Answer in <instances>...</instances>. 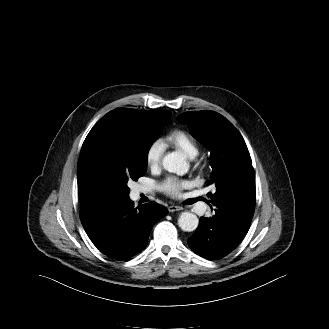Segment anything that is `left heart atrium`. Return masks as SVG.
Wrapping results in <instances>:
<instances>
[{"label": "left heart atrium", "instance_id": "1", "mask_svg": "<svg viewBox=\"0 0 329 329\" xmlns=\"http://www.w3.org/2000/svg\"><path fill=\"white\" fill-rule=\"evenodd\" d=\"M189 186V182L186 180L177 179L174 177H168L161 183V189L172 197H178L181 195L183 189Z\"/></svg>", "mask_w": 329, "mask_h": 329}]
</instances>
